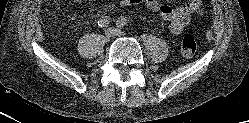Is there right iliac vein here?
Returning <instances> with one entry per match:
<instances>
[{
	"instance_id": "right-iliac-vein-1",
	"label": "right iliac vein",
	"mask_w": 249,
	"mask_h": 123,
	"mask_svg": "<svg viewBox=\"0 0 249 123\" xmlns=\"http://www.w3.org/2000/svg\"><path fill=\"white\" fill-rule=\"evenodd\" d=\"M105 36L109 39L113 36H115V31L112 28H108L105 30Z\"/></svg>"
}]
</instances>
